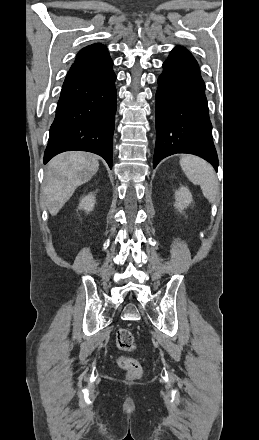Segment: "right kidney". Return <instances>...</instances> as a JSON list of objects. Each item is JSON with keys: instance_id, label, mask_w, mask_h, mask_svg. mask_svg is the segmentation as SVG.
I'll list each match as a JSON object with an SVG mask.
<instances>
[{"instance_id": "obj_1", "label": "right kidney", "mask_w": 259, "mask_h": 440, "mask_svg": "<svg viewBox=\"0 0 259 440\" xmlns=\"http://www.w3.org/2000/svg\"><path fill=\"white\" fill-rule=\"evenodd\" d=\"M95 194L89 193L87 196L83 197L79 203L78 209H83L86 213H89L94 209L95 206Z\"/></svg>"}]
</instances>
